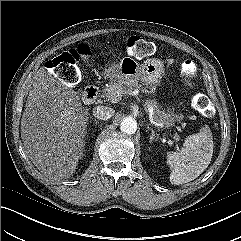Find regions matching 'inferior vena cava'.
<instances>
[{
    "instance_id": "inferior-vena-cava-1",
    "label": "inferior vena cava",
    "mask_w": 241,
    "mask_h": 241,
    "mask_svg": "<svg viewBox=\"0 0 241 241\" xmlns=\"http://www.w3.org/2000/svg\"><path fill=\"white\" fill-rule=\"evenodd\" d=\"M114 113L115 110L107 106H97L93 108L94 117L100 120H108L114 115Z\"/></svg>"
}]
</instances>
